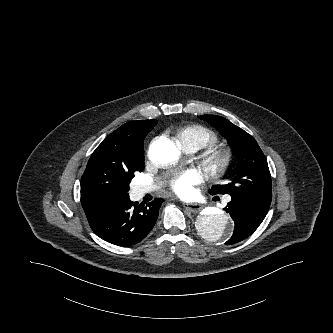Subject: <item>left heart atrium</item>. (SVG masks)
<instances>
[{"label":"left heart atrium","instance_id":"1","mask_svg":"<svg viewBox=\"0 0 333 333\" xmlns=\"http://www.w3.org/2000/svg\"><path fill=\"white\" fill-rule=\"evenodd\" d=\"M202 180V174L196 169L185 170L170 180V188L180 197L187 198L194 194V186Z\"/></svg>","mask_w":333,"mask_h":333}]
</instances>
